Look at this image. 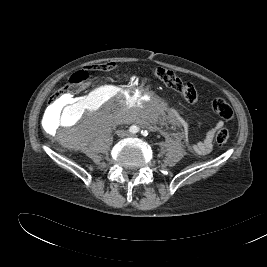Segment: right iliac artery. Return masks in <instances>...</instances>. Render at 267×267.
<instances>
[{"label":"right iliac artery","instance_id":"right-iliac-artery-1","mask_svg":"<svg viewBox=\"0 0 267 267\" xmlns=\"http://www.w3.org/2000/svg\"><path fill=\"white\" fill-rule=\"evenodd\" d=\"M139 130H140L139 127H137L136 125H132V126H130V128H129V131H130L131 133H133V134L138 133Z\"/></svg>","mask_w":267,"mask_h":267}]
</instances>
